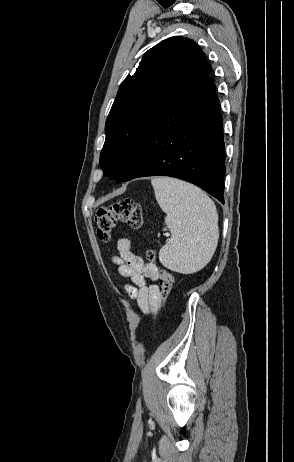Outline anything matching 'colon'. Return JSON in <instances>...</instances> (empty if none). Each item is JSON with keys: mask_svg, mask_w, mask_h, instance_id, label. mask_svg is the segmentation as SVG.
<instances>
[{"mask_svg": "<svg viewBox=\"0 0 294 462\" xmlns=\"http://www.w3.org/2000/svg\"><path fill=\"white\" fill-rule=\"evenodd\" d=\"M142 222L140 206L132 199L126 198L98 209L95 215L96 234L101 241L106 242L110 239L118 223L139 228ZM148 256L152 261L156 258L153 251H150ZM159 282L161 298L164 300L173 288L174 276L170 272L162 270L159 272Z\"/></svg>", "mask_w": 294, "mask_h": 462, "instance_id": "5ec220e1", "label": "colon"}]
</instances>
